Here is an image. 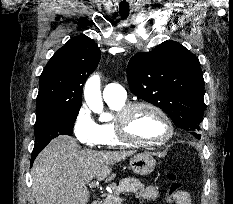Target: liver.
<instances>
[{
  "label": "liver",
  "instance_id": "liver-1",
  "mask_svg": "<svg viewBox=\"0 0 233 204\" xmlns=\"http://www.w3.org/2000/svg\"><path fill=\"white\" fill-rule=\"evenodd\" d=\"M133 151L81 150L67 135L54 138L34 161L32 191L36 204H87V185L112 180V165L133 155Z\"/></svg>",
  "mask_w": 233,
  "mask_h": 204
}]
</instances>
